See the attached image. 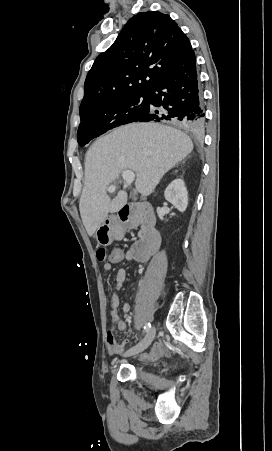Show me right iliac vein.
I'll return each instance as SVG.
<instances>
[{
	"mask_svg": "<svg viewBox=\"0 0 272 451\" xmlns=\"http://www.w3.org/2000/svg\"><path fill=\"white\" fill-rule=\"evenodd\" d=\"M156 329L155 327H151L150 330L147 332L145 337L141 342H139L136 346L130 348L128 351L125 352V356H132L138 353L143 352L145 349L148 348V346L151 344L155 337Z\"/></svg>",
	"mask_w": 272,
	"mask_h": 451,
	"instance_id": "obj_1",
	"label": "right iliac vein"
}]
</instances>
